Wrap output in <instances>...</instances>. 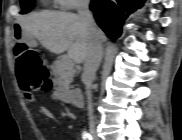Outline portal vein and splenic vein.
I'll list each match as a JSON object with an SVG mask.
<instances>
[{"label":"portal vein and splenic vein","mask_w":182,"mask_h":140,"mask_svg":"<svg viewBox=\"0 0 182 140\" xmlns=\"http://www.w3.org/2000/svg\"><path fill=\"white\" fill-rule=\"evenodd\" d=\"M65 60H66L67 62H72V59H71V57H69V56H67V57L65 58Z\"/></svg>","instance_id":"portal-vein-and-splenic-vein-1"}]
</instances>
